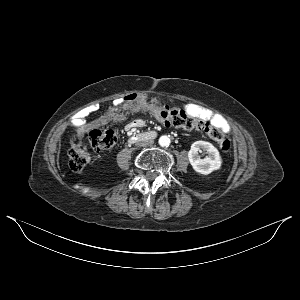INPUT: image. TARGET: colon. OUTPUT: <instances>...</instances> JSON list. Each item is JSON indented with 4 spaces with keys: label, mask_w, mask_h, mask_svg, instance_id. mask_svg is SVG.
Instances as JSON below:
<instances>
[{
    "label": "colon",
    "mask_w": 300,
    "mask_h": 300,
    "mask_svg": "<svg viewBox=\"0 0 300 300\" xmlns=\"http://www.w3.org/2000/svg\"><path fill=\"white\" fill-rule=\"evenodd\" d=\"M123 103L131 109L152 114L166 126L201 131L217 142L223 154L230 152V141L224 132L202 116L191 115L182 109H171L155 100L148 99L143 93L130 94L123 99ZM85 132L86 128H82V133ZM87 135L91 146L97 151L112 148L117 140V132L112 127L92 129L87 132ZM68 156L69 167L74 172L82 171L89 160L86 149L75 140H72L70 144Z\"/></svg>",
    "instance_id": "obj_1"
}]
</instances>
